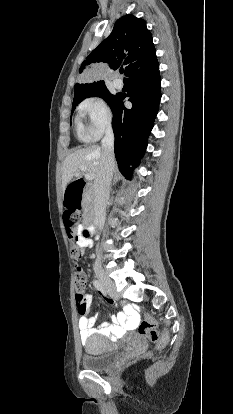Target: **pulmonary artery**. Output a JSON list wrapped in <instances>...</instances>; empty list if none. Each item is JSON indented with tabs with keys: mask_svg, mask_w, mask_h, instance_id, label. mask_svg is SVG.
<instances>
[{
	"mask_svg": "<svg viewBox=\"0 0 233 414\" xmlns=\"http://www.w3.org/2000/svg\"><path fill=\"white\" fill-rule=\"evenodd\" d=\"M113 84H114V86H115L117 89H121V88L123 87V82H122V80H120V79H118V78L114 80Z\"/></svg>",
	"mask_w": 233,
	"mask_h": 414,
	"instance_id": "e3ab8cb5",
	"label": "pulmonary artery"
}]
</instances>
